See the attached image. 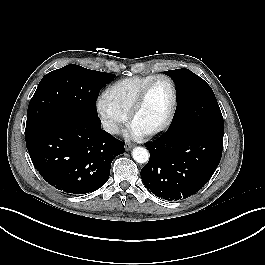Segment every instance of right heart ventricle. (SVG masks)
Here are the masks:
<instances>
[{
	"instance_id": "1",
	"label": "right heart ventricle",
	"mask_w": 265,
	"mask_h": 265,
	"mask_svg": "<svg viewBox=\"0 0 265 265\" xmlns=\"http://www.w3.org/2000/svg\"><path fill=\"white\" fill-rule=\"evenodd\" d=\"M155 75L133 76L121 79L107 88L103 99L115 110L128 116L141 89Z\"/></svg>"
}]
</instances>
